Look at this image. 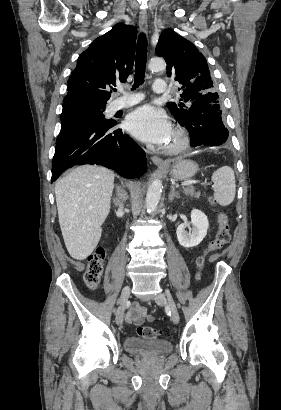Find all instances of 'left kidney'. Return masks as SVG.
Segmentation results:
<instances>
[{"label": "left kidney", "mask_w": 281, "mask_h": 410, "mask_svg": "<svg viewBox=\"0 0 281 410\" xmlns=\"http://www.w3.org/2000/svg\"><path fill=\"white\" fill-rule=\"evenodd\" d=\"M189 224H192V230L188 233L185 229ZM208 226L207 216L202 211L193 209L191 211V222L180 224L176 230L180 245L185 248L199 245L207 235Z\"/></svg>", "instance_id": "left-kidney-1"}]
</instances>
